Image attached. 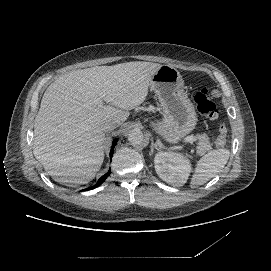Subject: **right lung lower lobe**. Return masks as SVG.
Returning <instances> with one entry per match:
<instances>
[{
  "label": "right lung lower lobe",
  "instance_id": "obj_1",
  "mask_svg": "<svg viewBox=\"0 0 271 271\" xmlns=\"http://www.w3.org/2000/svg\"><path fill=\"white\" fill-rule=\"evenodd\" d=\"M117 141H118L117 139H115L113 141L112 149L110 151V158L111 159H112V155H113V151H114V146L116 145ZM109 175H110V171L108 173H106L105 175H103L93 187H89L87 189H84V191L91 190V189H94V188L100 186Z\"/></svg>",
  "mask_w": 271,
  "mask_h": 271
}]
</instances>
